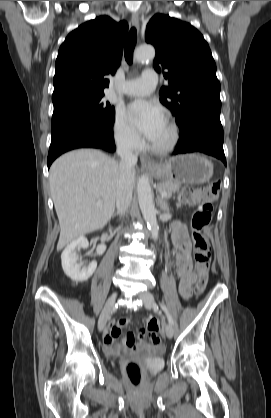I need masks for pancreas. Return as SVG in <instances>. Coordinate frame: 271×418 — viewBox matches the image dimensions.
<instances>
[{
  "instance_id": "1",
  "label": "pancreas",
  "mask_w": 271,
  "mask_h": 418,
  "mask_svg": "<svg viewBox=\"0 0 271 418\" xmlns=\"http://www.w3.org/2000/svg\"><path fill=\"white\" fill-rule=\"evenodd\" d=\"M156 189L159 193L166 192L165 198L170 199L173 194L180 190V183L173 181L162 182L157 185Z\"/></svg>"
}]
</instances>
